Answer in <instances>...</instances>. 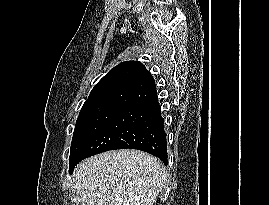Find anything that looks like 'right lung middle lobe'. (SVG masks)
Wrapping results in <instances>:
<instances>
[{
    "instance_id": "1",
    "label": "right lung middle lobe",
    "mask_w": 269,
    "mask_h": 205,
    "mask_svg": "<svg viewBox=\"0 0 269 205\" xmlns=\"http://www.w3.org/2000/svg\"><path fill=\"white\" fill-rule=\"evenodd\" d=\"M126 107L119 105H96L82 107L77 118L71 143L69 172L72 173L82 148L117 114Z\"/></svg>"
}]
</instances>
